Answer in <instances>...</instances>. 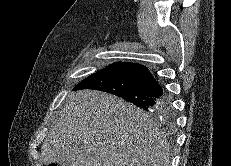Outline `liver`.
Masks as SVG:
<instances>
[{"label":"liver","instance_id":"6515ba94","mask_svg":"<svg viewBox=\"0 0 231 166\" xmlns=\"http://www.w3.org/2000/svg\"><path fill=\"white\" fill-rule=\"evenodd\" d=\"M41 159L60 166H169L170 145L144 111L111 94L81 90L68 95Z\"/></svg>","mask_w":231,"mask_h":166}]
</instances>
